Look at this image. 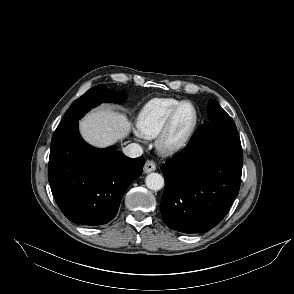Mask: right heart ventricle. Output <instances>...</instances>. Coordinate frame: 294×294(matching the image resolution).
<instances>
[{
    "mask_svg": "<svg viewBox=\"0 0 294 294\" xmlns=\"http://www.w3.org/2000/svg\"><path fill=\"white\" fill-rule=\"evenodd\" d=\"M182 100L174 98H155L150 100L139 113L137 126L145 138L157 136L171 112Z\"/></svg>",
    "mask_w": 294,
    "mask_h": 294,
    "instance_id": "obj_1",
    "label": "right heart ventricle"
}]
</instances>
